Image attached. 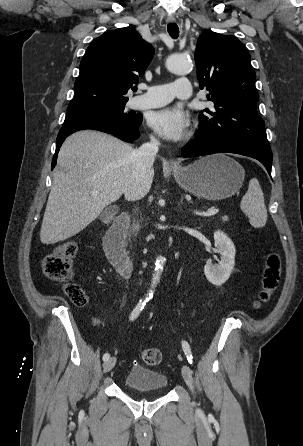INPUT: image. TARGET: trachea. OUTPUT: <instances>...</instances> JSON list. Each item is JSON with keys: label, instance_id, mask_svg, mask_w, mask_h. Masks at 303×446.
Returning <instances> with one entry per match:
<instances>
[{"label": "trachea", "instance_id": "3493384b", "mask_svg": "<svg viewBox=\"0 0 303 446\" xmlns=\"http://www.w3.org/2000/svg\"><path fill=\"white\" fill-rule=\"evenodd\" d=\"M167 30H168L170 36L173 39H177L178 38V36H179V28H178L177 24H175V23L168 24Z\"/></svg>", "mask_w": 303, "mask_h": 446}]
</instances>
